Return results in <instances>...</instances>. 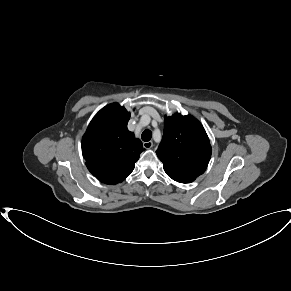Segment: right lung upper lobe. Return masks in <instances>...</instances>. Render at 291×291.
I'll return each mask as SVG.
<instances>
[{
  "label": "right lung upper lobe",
  "instance_id": "cb5924a9",
  "mask_svg": "<svg viewBox=\"0 0 291 291\" xmlns=\"http://www.w3.org/2000/svg\"><path fill=\"white\" fill-rule=\"evenodd\" d=\"M129 118L124 107L109 104L94 116L82 138L86 166L102 183L114 185L126 179L145 150L127 129Z\"/></svg>",
  "mask_w": 291,
  "mask_h": 291
}]
</instances>
